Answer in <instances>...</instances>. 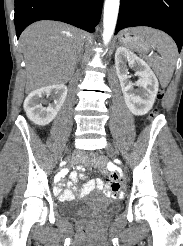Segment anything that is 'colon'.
<instances>
[{"mask_svg":"<svg viewBox=\"0 0 183 246\" xmlns=\"http://www.w3.org/2000/svg\"><path fill=\"white\" fill-rule=\"evenodd\" d=\"M159 98H162V92H160L159 94ZM151 118H154L156 116V112H153L151 115ZM87 157H89L90 160H93L94 157L97 156V153L96 152H93L92 150L90 152H87Z\"/></svg>","mask_w":183,"mask_h":246,"instance_id":"1","label":"colon"}]
</instances>
